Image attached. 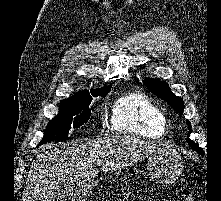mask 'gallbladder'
Returning <instances> with one entry per match:
<instances>
[{"mask_svg":"<svg viewBox=\"0 0 221 201\" xmlns=\"http://www.w3.org/2000/svg\"><path fill=\"white\" fill-rule=\"evenodd\" d=\"M74 194V188L71 184H65L58 188L56 198L59 201H68Z\"/></svg>","mask_w":221,"mask_h":201,"instance_id":"obj_1","label":"gallbladder"}]
</instances>
